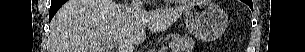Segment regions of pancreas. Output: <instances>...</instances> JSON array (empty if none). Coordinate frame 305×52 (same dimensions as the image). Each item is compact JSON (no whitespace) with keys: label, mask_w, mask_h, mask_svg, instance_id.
Returning <instances> with one entry per match:
<instances>
[{"label":"pancreas","mask_w":305,"mask_h":52,"mask_svg":"<svg viewBox=\"0 0 305 52\" xmlns=\"http://www.w3.org/2000/svg\"><path fill=\"white\" fill-rule=\"evenodd\" d=\"M171 52H191L194 47V40L187 35H175L169 42Z\"/></svg>","instance_id":"obj_1"}]
</instances>
